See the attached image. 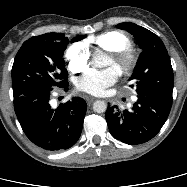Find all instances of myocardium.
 <instances>
[{
  "label": "myocardium",
  "instance_id": "f54148a6",
  "mask_svg": "<svg viewBox=\"0 0 187 187\" xmlns=\"http://www.w3.org/2000/svg\"><path fill=\"white\" fill-rule=\"evenodd\" d=\"M110 56L115 61L118 70L125 75L130 74L137 63V58L130 49L110 52Z\"/></svg>",
  "mask_w": 187,
  "mask_h": 187
}]
</instances>
